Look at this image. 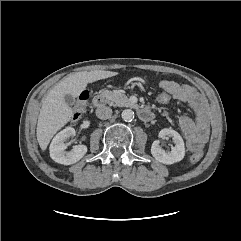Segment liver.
<instances>
[{"instance_id": "1", "label": "liver", "mask_w": 241, "mask_h": 241, "mask_svg": "<svg viewBox=\"0 0 241 241\" xmlns=\"http://www.w3.org/2000/svg\"><path fill=\"white\" fill-rule=\"evenodd\" d=\"M117 74L118 72L114 71L94 70L77 72L64 77L43 101L36 130L40 148L46 150L52 137L70 121L73 115L72 109L64 100L66 94L77 97L88 83Z\"/></svg>"}]
</instances>
